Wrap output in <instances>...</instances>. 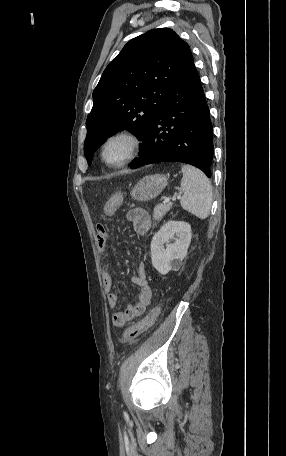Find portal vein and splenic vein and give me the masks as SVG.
I'll use <instances>...</instances> for the list:
<instances>
[{
	"mask_svg": "<svg viewBox=\"0 0 286 456\" xmlns=\"http://www.w3.org/2000/svg\"><path fill=\"white\" fill-rule=\"evenodd\" d=\"M165 203H169L170 202V198L169 197H166L165 200H164Z\"/></svg>",
	"mask_w": 286,
	"mask_h": 456,
	"instance_id": "portal-vein-and-splenic-vein-1",
	"label": "portal vein and splenic vein"
}]
</instances>
